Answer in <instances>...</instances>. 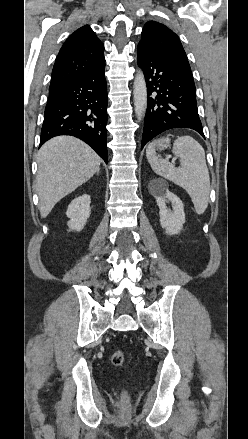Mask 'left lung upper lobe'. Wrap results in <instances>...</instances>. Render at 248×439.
I'll list each match as a JSON object with an SVG mask.
<instances>
[{
  "label": "left lung upper lobe",
  "instance_id": "obj_1",
  "mask_svg": "<svg viewBox=\"0 0 248 439\" xmlns=\"http://www.w3.org/2000/svg\"><path fill=\"white\" fill-rule=\"evenodd\" d=\"M140 46L154 54L190 68L179 37L165 25L156 21L147 22L142 30Z\"/></svg>",
  "mask_w": 248,
  "mask_h": 439
}]
</instances>
